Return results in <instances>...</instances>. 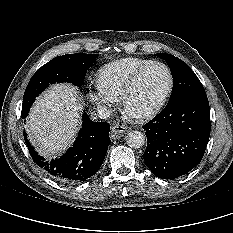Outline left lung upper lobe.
Returning <instances> with one entry per match:
<instances>
[{"instance_id":"left-lung-upper-lobe-1","label":"left lung upper lobe","mask_w":233,"mask_h":233,"mask_svg":"<svg viewBox=\"0 0 233 233\" xmlns=\"http://www.w3.org/2000/svg\"><path fill=\"white\" fill-rule=\"evenodd\" d=\"M157 56L167 62L174 79L168 103L187 97H207L200 80L185 62L171 54L158 53Z\"/></svg>"}]
</instances>
